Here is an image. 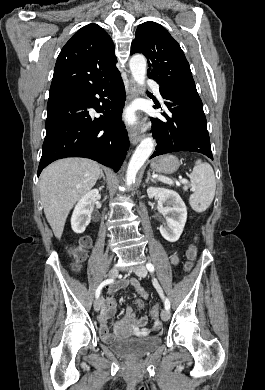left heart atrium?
Wrapping results in <instances>:
<instances>
[{
    "mask_svg": "<svg viewBox=\"0 0 265 390\" xmlns=\"http://www.w3.org/2000/svg\"><path fill=\"white\" fill-rule=\"evenodd\" d=\"M128 118H129V119H132L133 117H132V115H131V114H129V115H128Z\"/></svg>",
    "mask_w": 265,
    "mask_h": 390,
    "instance_id": "1",
    "label": "left heart atrium"
}]
</instances>
